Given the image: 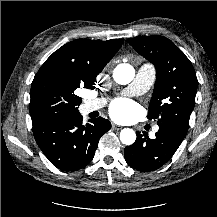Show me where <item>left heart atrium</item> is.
<instances>
[{
  "mask_svg": "<svg viewBox=\"0 0 217 217\" xmlns=\"http://www.w3.org/2000/svg\"><path fill=\"white\" fill-rule=\"evenodd\" d=\"M136 107L128 100L120 99L112 103L110 114L116 120L124 121L129 119L135 112Z\"/></svg>",
  "mask_w": 217,
  "mask_h": 217,
  "instance_id": "1",
  "label": "left heart atrium"
}]
</instances>
